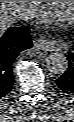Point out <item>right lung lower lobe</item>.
Returning <instances> with one entry per match:
<instances>
[{
  "label": "right lung lower lobe",
  "instance_id": "1",
  "mask_svg": "<svg viewBox=\"0 0 74 122\" xmlns=\"http://www.w3.org/2000/svg\"><path fill=\"white\" fill-rule=\"evenodd\" d=\"M32 47L29 27H11L0 35V98L12 89V64L24 50Z\"/></svg>",
  "mask_w": 74,
  "mask_h": 122
}]
</instances>
